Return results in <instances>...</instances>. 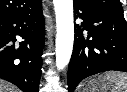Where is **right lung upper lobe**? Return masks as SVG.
Instances as JSON below:
<instances>
[{
  "instance_id": "right-lung-upper-lobe-1",
  "label": "right lung upper lobe",
  "mask_w": 127,
  "mask_h": 92,
  "mask_svg": "<svg viewBox=\"0 0 127 92\" xmlns=\"http://www.w3.org/2000/svg\"><path fill=\"white\" fill-rule=\"evenodd\" d=\"M40 2L41 0H0V19L30 11Z\"/></svg>"
}]
</instances>
